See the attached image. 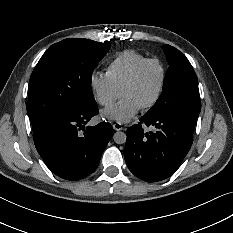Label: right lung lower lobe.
<instances>
[{"mask_svg": "<svg viewBox=\"0 0 233 233\" xmlns=\"http://www.w3.org/2000/svg\"><path fill=\"white\" fill-rule=\"evenodd\" d=\"M97 113L95 100L84 101L64 117L32 124L35 146L54 174L66 180H79L96 170L113 136L110 123L86 125Z\"/></svg>", "mask_w": 233, "mask_h": 233, "instance_id": "right-lung-lower-lobe-1", "label": "right lung lower lobe"}]
</instances>
